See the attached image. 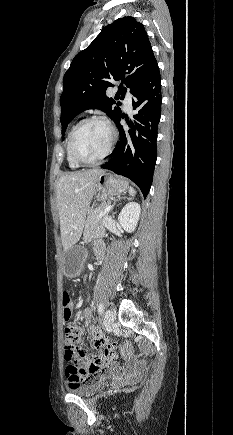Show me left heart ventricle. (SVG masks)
I'll use <instances>...</instances> for the list:
<instances>
[{"label": "left heart ventricle", "mask_w": 233, "mask_h": 435, "mask_svg": "<svg viewBox=\"0 0 233 435\" xmlns=\"http://www.w3.org/2000/svg\"><path fill=\"white\" fill-rule=\"evenodd\" d=\"M108 141L107 127L97 122L82 125L75 137L77 152L86 161H92L101 156Z\"/></svg>", "instance_id": "1"}]
</instances>
